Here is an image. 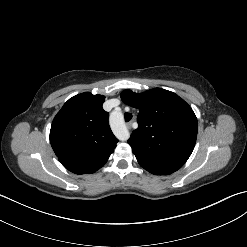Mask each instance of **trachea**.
<instances>
[{
  "label": "trachea",
  "instance_id": "trachea-1",
  "mask_svg": "<svg viewBox=\"0 0 247 247\" xmlns=\"http://www.w3.org/2000/svg\"><path fill=\"white\" fill-rule=\"evenodd\" d=\"M124 118H125V121L128 122L132 119V114L131 113H125Z\"/></svg>",
  "mask_w": 247,
  "mask_h": 247
}]
</instances>
